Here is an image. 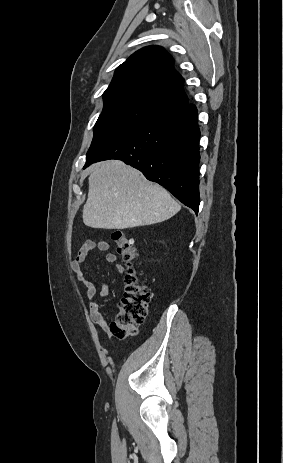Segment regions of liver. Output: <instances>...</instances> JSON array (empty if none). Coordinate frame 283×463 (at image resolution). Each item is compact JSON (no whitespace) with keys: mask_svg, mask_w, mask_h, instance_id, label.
I'll return each instance as SVG.
<instances>
[{"mask_svg":"<svg viewBox=\"0 0 283 463\" xmlns=\"http://www.w3.org/2000/svg\"><path fill=\"white\" fill-rule=\"evenodd\" d=\"M83 222L91 228L126 229L163 222L180 211L170 193L148 182L141 173L118 160L90 167Z\"/></svg>","mask_w":283,"mask_h":463,"instance_id":"1","label":"liver"}]
</instances>
